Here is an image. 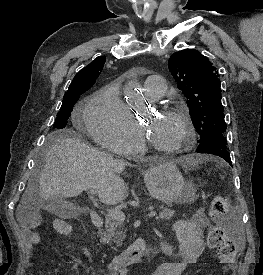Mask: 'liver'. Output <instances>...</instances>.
<instances>
[{
  "mask_svg": "<svg viewBox=\"0 0 263 275\" xmlns=\"http://www.w3.org/2000/svg\"><path fill=\"white\" fill-rule=\"evenodd\" d=\"M44 167L39 175L38 195L28 186L17 209V220L25 209H38L41 199L75 197L85 190H94L99 200L115 205L128 196L124 180L118 175L125 168L123 160L89 146L72 130L55 132L50 138ZM194 163L193 156L177 160Z\"/></svg>",
  "mask_w": 263,
  "mask_h": 275,
  "instance_id": "obj_1",
  "label": "liver"
}]
</instances>
